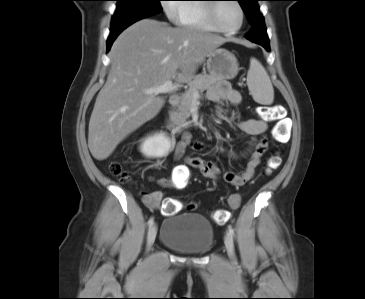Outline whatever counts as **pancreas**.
Masks as SVG:
<instances>
[{
    "instance_id": "1",
    "label": "pancreas",
    "mask_w": 365,
    "mask_h": 299,
    "mask_svg": "<svg viewBox=\"0 0 365 299\" xmlns=\"http://www.w3.org/2000/svg\"><path fill=\"white\" fill-rule=\"evenodd\" d=\"M218 80L219 78L205 73L197 75L193 81L190 82L189 89L182 95L181 101L177 105L176 110L171 112V121L178 126H189L190 122L187 121V119L190 117V109L195 99L193 94L195 92L202 93L209 89L212 85H215Z\"/></svg>"
}]
</instances>
